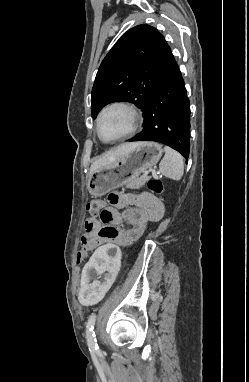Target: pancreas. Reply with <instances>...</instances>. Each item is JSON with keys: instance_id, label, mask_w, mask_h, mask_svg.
I'll return each instance as SVG.
<instances>
[{"instance_id": "cf45deb5", "label": "pancreas", "mask_w": 249, "mask_h": 382, "mask_svg": "<svg viewBox=\"0 0 249 382\" xmlns=\"http://www.w3.org/2000/svg\"><path fill=\"white\" fill-rule=\"evenodd\" d=\"M149 180V177L146 176V177H141V178H138V177H132V178H129L127 181H126V188H129V189H139L141 188L143 185H145V183Z\"/></svg>"}]
</instances>
